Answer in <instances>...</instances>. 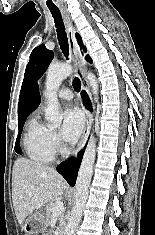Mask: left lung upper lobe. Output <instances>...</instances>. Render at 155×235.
Wrapping results in <instances>:
<instances>
[{"label": "left lung upper lobe", "instance_id": "left-lung-upper-lobe-1", "mask_svg": "<svg viewBox=\"0 0 155 235\" xmlns=\"http://www.w3.org/2000/svg\"><path fill=\"white\" fill-rule=\"evenodd\" d=\"M76 38L79 44H82L81 37L79 34H76ZM84 50L85 47H84ZM54 56V53L50 50H48L44 44L39 45L36 47L31 55H30V61L27 64L24 80L21 88V94H23L28 86L35 80L39 79L43 73L48 68L50 62L52 61ZM86 60L88 62H92L91 58L89 56H86Z\"/></svg>", "mask_w": 155, "mask_h": 235}]
</instances>
